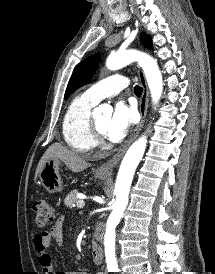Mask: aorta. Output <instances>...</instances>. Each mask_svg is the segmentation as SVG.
Segmentation results:
<instances>
[{"label": "aorta", "mask_w": 215, "mask_h": 274, "mask_svg": "<svg viewBox=\"0 0 215 274\" xmlns=\"http://www.w3.org/2000/svg\"><path fill=\"white\" fill-rule=\"evenodd\" d=\"M134 61L143 68L146 80L150 89L152 101L156 104L163 91L162 75L157 62L149 55L137 50H120L109 55L106 66L110 70L120 69ZM112 108L103 104L97 107L93 114L100 115L102 112H111ZM147 143L146 136H142L135 141L126 152L116 179L114 193L116 195L115 203L112 206V212L107 222V232L105 235V255L108 270L117 272L118 265L115 256V226L122 218L123 212L128 204V196L135 170L141 161L145 152Z\"/></svg>", "instance_id": "1"}]
</instances>
